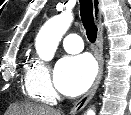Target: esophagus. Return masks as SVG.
I'll list each match as a JSON object with an SVG mask.
<instances>
[{"mask_svg": "<svg viewBox=\"0 0 131 115\" xmlns=\"http://www.w3.org/2000/svg\"><path fill=\"white\" fill-rule=\"evenodd\" d=\"M93 2V15L94 20L97 25V38H96V46H95V57L98 62V74L97 77L90 88V90L78 101L74 104L73 108L70 111V114L75 115L80 112L92 99L94 96L101 78L103 74V26H102V14H101V1L100 0H92Z\"/></svg>", "mask_w": 131, "mask_h": 115, "instance_id": "1", "label": "esophagus"}]
</instances>
